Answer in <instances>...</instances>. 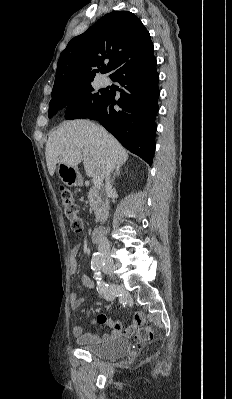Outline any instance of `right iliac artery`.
I'll list each match as a JSON object with an SVG mask.
<instances>
[{
	"label": "right iliac artery",
	"instance_id": "right-iliac-artery-1",
	"mask_svg": "<svg viewBox=\"0 0 232 399\" xmlns=\"http://www.w3.org/2000/svg\"><path fill=\"white\" fill-rule=\"evenodd\" d=\"M105 266V258L103 255H93L91 258V269L94 272L96 280V290L103 297H113L107 293L108 284L102 280L101 269Z\"/></svg>",
	"mask_w": 232,
	"mask_h": 399
}]
</instances>
